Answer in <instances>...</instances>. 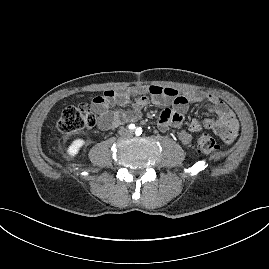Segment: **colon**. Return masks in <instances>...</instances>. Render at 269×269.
Segmentation results:
<instances>
[{
    "mask_svg": "<svg viewBox=\"0 0 269 269\" xmlns=\"http://www.w3.org/2000/svg\"><path fill=\"white\" fill-rule=\"evenodd\" d=\"M98 114L87 104L65 107L57 121V129L63 136L73 134L98 123ZM197 147L204 154H216L218 146L215 139L207 133L197 137Z\"/></svg>",
    "mask_w": 269,
    "mask_h": 269,
    "instance_id": "colon-1",
    "label": "colon"
}]
</instances>
